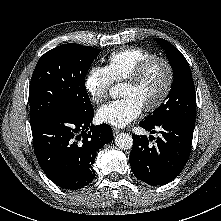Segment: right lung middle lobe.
I'll return each mask as SVG.
<instances>
[{
	"label": "right lung middle lobe",
	"mask_w": 221,
	"mask_h": 221,
	"mask_svg": "<svg viewBox=\"0 0 221 221\" xmlns=\"http://www.w3.org/2000/svg\"><path fill=\"white\" fill-rule=\"evenodd\" d=\"M100 51L68 43L39 59L29 88L31 124L54 112L82 115L93 109L85 76Z\"/></svg>",
	"instance_id": "1"
}]
</instances>
